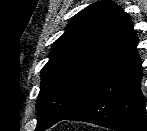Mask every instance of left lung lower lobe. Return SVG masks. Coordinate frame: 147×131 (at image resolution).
<instances>
[{
	"mask_svg": "<svg viewBox=\"0 0 147 131\" xmlns=\"http://www.w3.org/2000/svg\"><path fill=\"white\" fill-rule=\"evenodd\" d=\"M142 73L141 59L135 53L64 120L89 122L115 131H147Z\"/></svg>",
	"mask_w": 147,
	"mask_h": 131,
	"instance_id": "1",
	"label": "left lung lower lobe"
}]
</instances>
